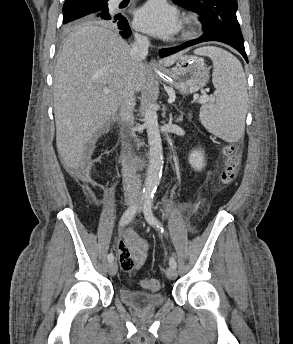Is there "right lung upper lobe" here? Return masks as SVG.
Masks as SVG:
<instances>
[{"instance_id":"right-lung-upper-lobe-1","label":"right lung upper lobe","mask_w":293,"mask_h":344,"mask_svg":"<svg viewBox=\"0 0 293 344\" xmlns=\"http://www.w3.org/2000/svg\"><path fill=\"white\" fill-rule=\"evenodd\" d=\"M65 1H66V2L64 3V5H66V4H71V3H75V2H79V1H83V0H65ZM76 25H78V24L73 23V24L67 26V28H71V27H74V26H76Z\"/></svg>"}]
</instances>
